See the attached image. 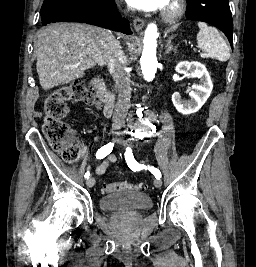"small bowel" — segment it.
I'll use <instances>...</instances> for the list:
<instances>
[{"label": "small bowel", "mask_w": 256, "mask_h": 267, "mask_svg": "<svg viewBox=\"0 0 256 267\" xmlns=\"http://www.w3.org/2000/svg\"><path fill=\"white\" fill-rule=\"evenodd\" d=\"M116 160H117L116 155H114V154L107 155L102 160V162L96 167V169H95L96 175H98V176L103 175L106 172V170L108 169V167L111 164L115 163Z\"/></svg>", "instance_id": "obj_1"}]
</instances>
